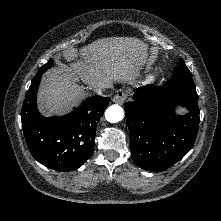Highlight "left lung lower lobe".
Listing matches in <instances>:
<instances>
[{
    "mask_svg": "<svg viewBox=\"0 0 221 221\" xmlns=\"http://www.w3.org/2000/svg\"><path fill=\"white\" fill-rule=\"evenodd\" d=\"M177 105L188 113L176 115ZM125 115L136 164L149 171L171 167L190 151L198 133V96L192 76L140 87L133 101L126 103Z\"/></svg>",
    "mask_w": 221,
    "mask_h": 221,
    "instance_id": "obj_1",
    "label": "left lung lower lobe"
}]
</instances>
